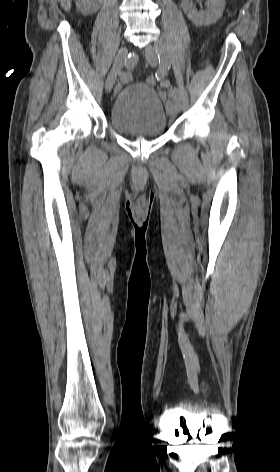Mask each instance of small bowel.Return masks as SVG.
I'll use <instances>...</instances> for the list:
<instances>
[{
  "mask_svg": "<svg viewBox=\"0 0 280 472\" xmlns=\"http://www.w3.org/2000/svg\"><path fill=\"white\" fill-rule=\"evenodd\" d=\"M168 86V82L167 81H162L161 84H160V96L165 98L166 97V92L164 91V89Z\"/></svg>",
  "mask_w": 280,
  "mask_h": 472,
  "instance_id": "obj_1",
  "label": "small bowel"
}]
</instances>
